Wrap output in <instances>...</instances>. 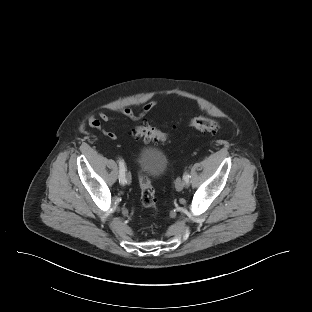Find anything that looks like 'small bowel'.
<instances>
[{
  "mask_svg": "<svg viewBox=\"0 0 312 312\" xmlns=\"http://www.w3.org/2000/svg\"><path fill=\"white\" fill-rule=\"evenodd\" d=\"M157 102L151 101L147 103L143 109L139 113H135L132 109L127 107H121V108H115L113 109V112L116 114H120L122 116H125L126 118L138 121L144 118V116L156 106ZM115 120L113 116L108 114L107 112H100L98 116H90L88 119V125L96 129L100 132H102L105 136H107L110 139H115L116 134L110 130H107L103 123H108Z\"/></svg>",
  "mask_w": 312,
  "mask_h": 312,
  "instance_id": "small-bowel-1",
  "label": "small bowel"
}]
</instances>
